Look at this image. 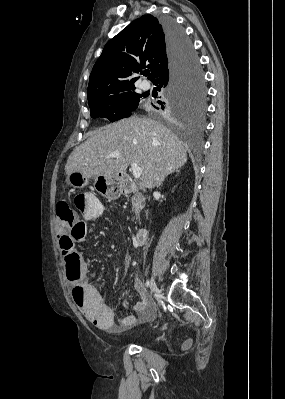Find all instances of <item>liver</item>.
<instances>
[{
	"label": "liver",
	"instance_id": "1",
	"mask_svg": "<svg viewBox=\"0 0 285 399\" xmlns=\"http://www.w3.org/2000/svg\"><path fill=\"white\" fill-rule=\"evenodd\" d=\"M118 158H108L112 152ZM143 169L141 186L162 184L172 170L187 162L183 142L167 127L145 117L131 116L97 130L74 149L65 165L66 174L81 172L87 177L118 176L131 163Z\"/></svg>",
	"mask_w": 285,
	"mask_h": 399
}]
</instances>
